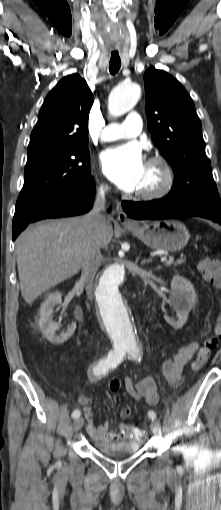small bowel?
Instances as JSON below:
<instances>
[{
	"mask_svg": "<svg viewBox=\"0 0 221 510\" xmlns=\"http://www.w3.org/2000/svg\"><path fill=\"white\" fill-rule=\"evenodd\" d=\"M199 346V342H191L181 347L173 357L164 361L162 366L163 374L170 384L175 385L180 381L183 368L191 361ZM125 389L132 397L137 400H143L148 405H156L158 402L157 385L154 379L149 376H145L139 380H134L130 377L126 378ZM78 401L84 406L83 413L87 422L86 429L93 440L107 442L134 438L130 433V430L133 428L127 424H121L120 430L117 433L110 431L109 421H105L96 426L91 399L86 396H80ZM127 408L130 409V407Z\"/></svg>",
	"mask_w": 221,
	"mask_h": 510,
	"instance_id": "c3829d8e",
	"label": "small bowel"
}]
</instances>
